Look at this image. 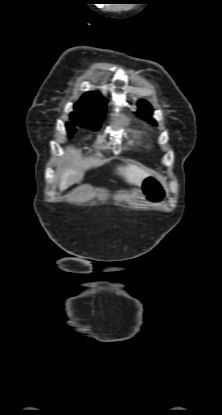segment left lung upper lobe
<instances>
[{"label": "left lung upper lobe", "instance_id": "5c2ea615", "mask_svg": "<svg viewBox=\"0 0 222 415\" xmlns=\"http://www.w3.org/2000/svg\"><path fill=\"white\" fill-rule=\"evenodd\" d=\"M152 112H153L152 107L147 101L145 100L139 101L137 114L143 119H145L146 121H148L149 123L156 125L155 120L151 117Z\"/></svg>", "mask_w": 222, "mask_h": 415}]
</instances>
